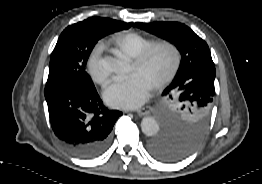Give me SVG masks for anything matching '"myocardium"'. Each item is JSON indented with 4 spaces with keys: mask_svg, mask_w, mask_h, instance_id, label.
Segmentation results:
<instances>
[{
    "mask_svg": "<svg viewBox=\"0 0 262 184\" xmlns=\"http://www.w3.org/2000/svg\"><path fill=\"white\" fill-rule=\"evenodd\" d=\"M162 47L168 48L173 52L174 61H173L172 67L169 70V72L153 85V89L155 90L161 89L165 87L166 85H168L171 81H173V79L178 74L181 68V65H182V58H183L182 50L179 47V45L170 40L156 41L153 44H151L150 46H148L146 49H144L134 59V63L137 66L141 67L147 62V60L150 58V56L153 54L155 50L162 48Z\"/></svg>",
    "mask_w": 262,
    "mask_h": 184,
    "instance_id": "1",
    "label": "myocardium"
}]
</instances>
